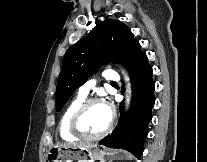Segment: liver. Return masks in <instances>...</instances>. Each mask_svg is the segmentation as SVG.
Wrapping results in <instances>:
<instances>
[{
  "label": "liver",
  "instance_id": "6515ba94",
  "mask_svg": "<svg viewBox=\"0 0 207 162\" xmlns=\"http://www.w3.org/2000/svg\"><path fill=\"white\" fill-rule=\"evenodd\" d=\"M61 146L69 147V148H84V149H93L97 147L96 144H89V143L63 144Z\"/></svg>",
  "mask_w": 207,
  "mask_h": 162
}]
</instances>
